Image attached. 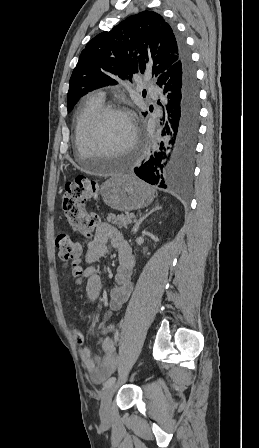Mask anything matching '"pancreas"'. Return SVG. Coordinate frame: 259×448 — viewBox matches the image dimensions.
I'll return each mask as SVG.
<instances>
[{"label":"pancreas","mask_w":259,"mask_h":448,"mask_svg":"<svg viewBox=\"0 0 259 448\" xmlns=\"http://www.w3.org/2000/svg\"><path fill=\"white\" fill-rule=\"evenodd\" d=\"M133 217H135L134 214H129V212H125V214H121V216H115V214H108L107 220L108 222H110V224H114V226H117V228H128V224H131L130 220Z\"/></svg>","instance_id":"obj_1"}]
</instances>
